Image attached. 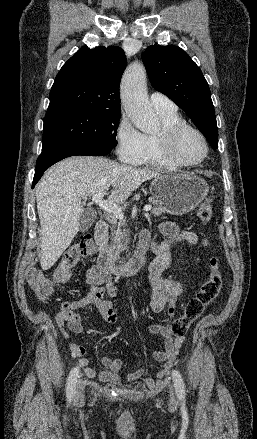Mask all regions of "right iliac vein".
Instances as JSON below:
<instances>
[{"mask_svg":"<svg viewBox=\"0 0 257 439\" xmlns=\"http://www.w3.org/2000/svg\"><path fill=\"white\" fill-rule=\"evenodd\" d=\"M76 398L79 401H82L84 399V385L82 382H79L77 386Z\"/></svg>","mask_w":257,"mask_h":439,"instance_id":"63e3f726","label":"right iliac vein"}]
</instances>
